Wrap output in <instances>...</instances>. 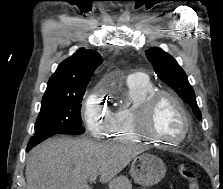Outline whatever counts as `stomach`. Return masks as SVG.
<instances>
[{"label": "stomach", "mask_w": 223, "mask_h": 189, "mask_svg": "<svg viewBox=\"0 0 223 189\" xmlns=\"http://www.w3.org/2000/svg\"><path fill=\"white\" fill-rule=\"evenodd\" d=\"M165 173L166 167L163 161L152 154H140L131 162L130 175L136 183L143 186L158 183Z\"/></svg>", "instance_id": "1"}]
</instances>
